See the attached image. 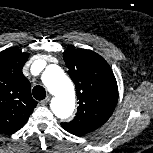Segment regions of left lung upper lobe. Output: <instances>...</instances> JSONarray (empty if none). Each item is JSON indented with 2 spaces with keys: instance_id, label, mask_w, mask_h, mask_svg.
<instances>
[{
  "instance_id": "5c2ea615",
  "label": "left lung upper lobe",
  "mask_w": 153,
  "mask_h": 153,
  "mask_svg": "<svg viewBox=\"0 0 153 153\" xmlns=\"http://www.w3.org/2000/svg\"><path fill=\"white\" fill-rule=\"evenodd\" d=\"M63 57L75 83L79 106L75 118L61 126L81 136L96 130L110 118L118 100L117 82L108 63L91 50L70 49Z\"/></svg>"
}]
</instances>
